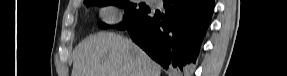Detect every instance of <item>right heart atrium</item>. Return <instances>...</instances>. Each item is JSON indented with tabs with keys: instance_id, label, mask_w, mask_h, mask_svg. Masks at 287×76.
Returning a JSON list of instances; mask_svg holds the SVG:
<instances>
[{
	"instance_id": "obj_1",
	"label": "right heart atrium",
	"mask_w": 287,
	"mask_h": 76,
	"mask_svg": "<svg viewBox=\"0 0 287 76\" xmlns=\"http://www.w3.org/2000/svg\"><path fill=\"white\" fill-rule=\"evenodd\" d=\"M101 16L102 19L106 22V23H115L119 20V15L118 12L115 8L113 7H106L101 11Z\"/></svg>"
}]
</instances>
